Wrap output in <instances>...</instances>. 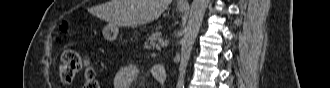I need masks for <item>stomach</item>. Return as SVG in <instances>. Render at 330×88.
Here are the masks:
<instances>
[{
    "label": "stomach",
    "instance_id": "0dacf381",
    "mask_svg": "<svg viewBox=\"0 0 330 88\" xmlns=\"http://www.w3.org/2000/svg\"><path fill=\"white\" fill-rule=\"evenodd\" d=\"M185 9L184 8H178L179 12H183ZM118 29L116 25H110L108 24L104 29H103V35L106 39L108 40H114L117 36Z\"/></svg>",
    "mask_w": 330,
    "mask_h": 88
}]
</instances>
